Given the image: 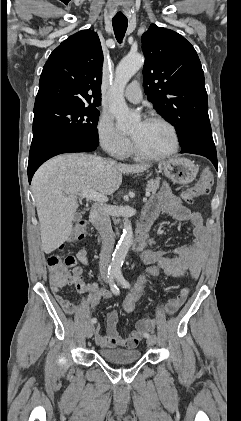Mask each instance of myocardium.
I'll return each mask as SVG.
<instances>
[{
	"label": "myocardium",
	"instance_id": "1",
	"mask_svg": "<svg viewBox=\"0 0 241 421\" xmlns=\"http://www.w3.org/2000/svg\"><path fill=\"white\" fill-rule=\"evenodd\" d=\"M143 121L156 122V123H161L165 125L172 134L173 144H172V147L167 152L158 154V155H152L141 150L139 146L137 145V143L135 142V140L130 136L131 151L133 152L134 155L148 161H162L171 157L179 150V147H180L179 134L176 127L170 121H168L167 119L161 116H148Z\"/></svg>",
	"mask_w": 241,
	"mask_h": 421
}]
</instances>
